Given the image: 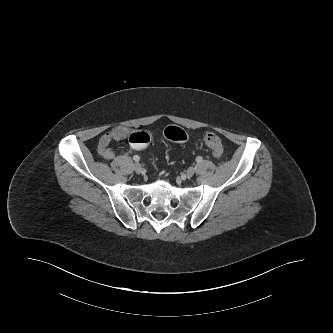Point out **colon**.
Returning a JSON list of instances; mask_svg holds the SVG:
<instances>
[{
    "label": "colon",
    "instance_id": "5ec220e1",
    "mask_svg": "<svg viewBox=\"0 0 333 333\" xmlns=\"http://www.w3.org/2000/svg\"><path fill=\"white\" fill-rule=\"evenodd\" d=\"M167 139L175 142H184L187 140V133L180 127L169 126L164 130ZM151 142V135L146 130H138L131 133L129 137V148L133 152H140ZM205 143L214 156H221L224 152V145L221 138L214 133L205 135Z\"/></svg>",
    "mask_w": 333,
    "mask_h": 333
}]
</instances>
